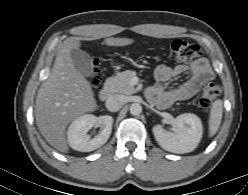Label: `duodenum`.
<instances>
[{"label":"duodenum","mask_w":248,"mask_h":195,"mask_svg":"<svg viewBox=\"0 0 248 195\" xmlns=\"http://www.w3.org/2000/svg\"><path fill=\"white\" fill-rule=\"evenodd\" d=\"M113 95V85L112 82H107L99 92V98L101 101H108Z\"/></svg>","instance_id":"410a0bca"}]
</instances>
